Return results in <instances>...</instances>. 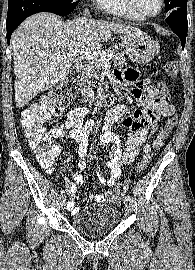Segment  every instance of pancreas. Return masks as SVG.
I'll return each mask as SVG.
<instances>
[{"instance_id":"cf45deb5","label":"pancreas","mask_w":195,"mask_h":270,"mask_svg":"<svg viewBox=\"0 0 195 270\" xmlns=\"http://www.w3.org/2000/svg\"><path fill=\"white\" fill-rule=\"evenodd\" d=\"M105 52L112 54V62L114 66L123 67L126 65V59L124 53L115 50L114 48H109ZM104 62L89 60L81 67V78L88 84H94L99 79V74L102 70Z\"/></svg>"}]
</instances>
